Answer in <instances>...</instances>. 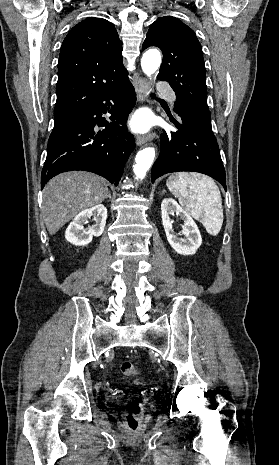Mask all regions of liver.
<instances>
[{"mask_svg": "<svg viewBox=\"0 0 279 465\" xmlns=\"http://www.w3.org/2000/svg\"><path fill=\"white\" fill-rule=\"evenodd\" d=\"M108 195L107 181L93 173L71 171L53 177L43 190L42 215L53 235L81 211L98 205Z\"/></svg>", "mask_w": 279, "mask_h": 465, "instance_id": "obj_1", "label": "liver"}]
</instances>
